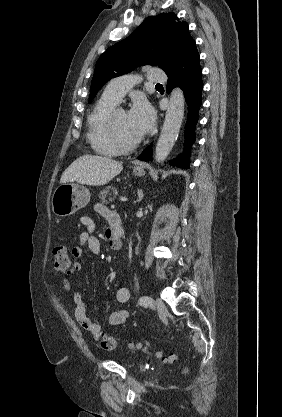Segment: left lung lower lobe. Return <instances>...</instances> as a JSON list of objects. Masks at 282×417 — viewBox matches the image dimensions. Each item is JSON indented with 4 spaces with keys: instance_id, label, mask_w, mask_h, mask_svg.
Masks as SVG:
<instances>
[{
    "instance_id": "obj_1",
    "label": "left lung lower lobe",
    "mask_w": 282,
    "mask_h": 417,
    "mask_svg": "<svg viewBox=\"0 0 282 417\" xmlns=\"http://www.w3.org/2000/svg\"><path fill=\"white\" fill-rule=\"evenodd\" d=\"M200 56L196 49L195 41L192 40L174 58L168 75L167 92L178 86L184 91L185 100L188 104L187 122L185 125V148L176 160L170 164L180 168H189L190 146L195 141V126L198 121V110L202 104L201 93L203 89L202 70L199 64ZM139 160H152V144L149 145L138 157Z\"/></svg>"
}]
</instances>
